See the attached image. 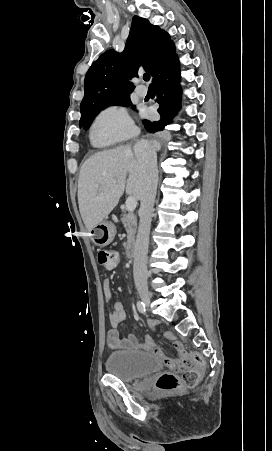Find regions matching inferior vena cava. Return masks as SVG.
<instances>
[{"mask_svg":"<svg viewBox=\"0 0 272 451\" xmlns=\"http://www.w3.org/2000/svg\"><path fill=\"white\" fill-rule=\"evenodd\" d=\"M135 156L143 170L144 188L141 196V218L134 247L133 277L136 287L147 285V253L151 216L156 196L158 170L156 152L148 142L135 144Z\"/></svg>","mask_w":272,"mask_h":451,"instance_id":"602c4592","label":"inferior vena cava"}]
</instances>
